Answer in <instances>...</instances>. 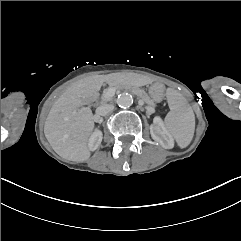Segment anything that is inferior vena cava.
Wrapping results in <instances>:
<instances>
[{
  "label": "inferior vena cava",
  "instance_id": "1",
  "mask_svg": "<svg viewBox=\"0 0 241 241\" xmlns=\"http://www.w3.org/2000/svg\"><path fill=\"white\" fill-rule=\"evenodd\" d=\"M114 108V105L112 104H103L101 106H99L96 110V115L97 116H104L106 114H108L109 112H111ZM96 121H98L99 119H95Z\"/></svg>",
  "mask_w": 241,
  "mask_h": 241
}]
</instances>
